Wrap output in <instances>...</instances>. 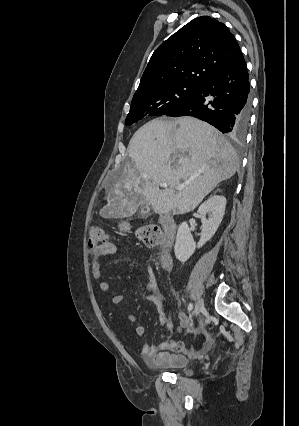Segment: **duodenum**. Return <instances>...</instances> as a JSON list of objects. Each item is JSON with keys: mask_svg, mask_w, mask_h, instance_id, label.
Listing matches in <instances>:
<instances>
[{"mask_svg": "<svg viewBox=\"0 0 299 426\" xmlns=\"http://www.w3.org/2000/svg\"><path fill=\"white\" fill-rule=\"evenodd\" d=\"M160 222L164 230V233L167 237V241L164 244L162 248V252H161V263L164 268L169 269L172 264L170 248H171L172 240L177 230V224L175 219L169 214L162 215Z\"/></svg>", "mask_w": 299, "mask_h": 426, "instance_id": "410a0bca", "label": "duodenum"}]
</instances>
